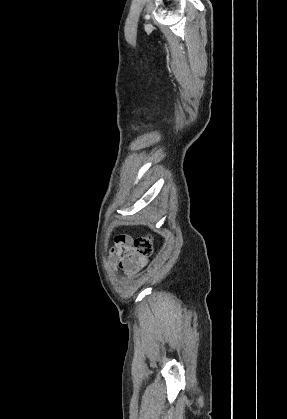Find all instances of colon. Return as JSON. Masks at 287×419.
<instances>
[{
    "label": "colon",
    "instance_id": "colon-1",
    "mask_svg": "<svg viewBox=\"0 0 287 419\" xmlns=\"http://www.w3.org/2000/svg\"><path fill=\"white\" fill-rule=\"evenodd\" d=\"M133 248L138 254L142 256H148L153 251L151 240L145 237L136 238L133 243Z\"/></svg>",
    "mask_w": 287,
    "mask_h": 419
}]
</instances>
